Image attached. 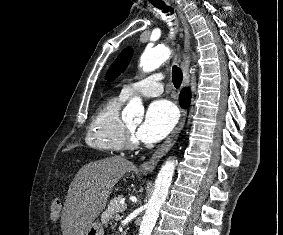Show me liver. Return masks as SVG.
I'll return each instance as SVG.
<instances>
[{"label":"liver","instance_id":"obj_1","mask_svg":"<svg viewBox=\"0 0 283 235\" xmlns=\"http://www.w3.org/2000/svg\"><path fill=\"white\" fill-rule=\"evenodd\" d=\"M134 164L120 156L84 165L70 184L61 216L63 235H85L105 208L113 187Z\"/></svg>","mask_w":283,"mask_h":235}]
</instances>
